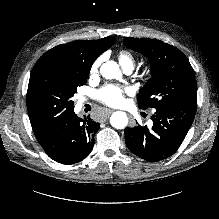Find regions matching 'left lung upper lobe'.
<instances>
[{"label": "left lung upper lobe", "instance_id": "obj_1", "mask_svg": "<svg viewBox=\"0 0 219 219\" xmlns=\"http://www.w3.org/2000/svg\"><path fill=\"white\" fill-rule=\"evenodd\" d=\"M130 49L148 57L152 78L137 95L140 109L173 107L197 100L195 73L176 47L156 39L124 38Z\"/></svg>", "mask_w": 219, "mask_h": 219}]
</instances>
